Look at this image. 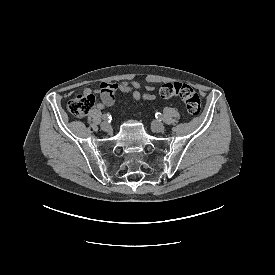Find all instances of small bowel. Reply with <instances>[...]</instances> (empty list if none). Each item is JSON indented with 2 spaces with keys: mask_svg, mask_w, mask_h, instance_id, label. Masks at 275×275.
<instances>
[{
  "mask_svg": "<svg viewBox=\"0 0 275 275\" xmlns=\"http://www.w3.org/2000/svg\"><path fill=\"white\" fill-rule=\"evenodd\" d=\"M143 89L146 92H143ZM116 90H120L125 93H131L133 102L137 103L140 100H153L155 95L152 94L155 90V86L152 84L142 85L140 82L135 80H123L120 82H103L97 89L86 88L84 93L86 95L96 94L101 98V102L96 104L98 110H102L107 106L113 104V94Z\"/></svg>",
  "mask_w": 275,
  "mask_h": 275,
  "instance_id": "obj_1",
  "label": "small bowel"
}]
</instances>
